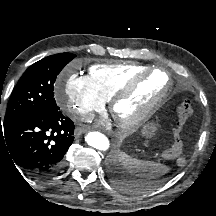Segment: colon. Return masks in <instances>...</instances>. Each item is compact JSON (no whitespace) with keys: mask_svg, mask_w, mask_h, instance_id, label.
I'll list each match as a JSON object with an SVG mask.
<instances>
[{"mask_svg":"<svg viewBox=\"0 0 216 216\" xmlns=\"http://www.w3.org/2000/svg\"><path fill=\"white\" fill-rule=\"evenodd\" d=\"M177 110L178 118L173 129V141L171 146L168 149H166L163 153V156L167 159L179 158L182 154L183 141L181 137V131L192 114V106L190 100L186 97L183 98L178 103Z\"/></svg>","mask_w":216,"mask_h":216,"instance_id":"obj_1","label":"colon"}]
</instances>
